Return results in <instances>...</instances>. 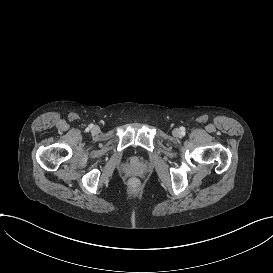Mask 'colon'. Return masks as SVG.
Returning <instances> with one entry per match:
<instances>
[{"label": "colon", "instance_id": "obj_1", "mask_svg": "<svg viewBox=\"0 0 273 273\" xmlns=\"http://www.w3.org/2000/svg\"><path fill=\"white\" fill-rule=\"evenodd\" d=\"M141 180L137 177H132L128 181V189L133 192H138L140 190Z\"/></svg>", "mask_w": 273, "mask_h": 273}]
</instances>
